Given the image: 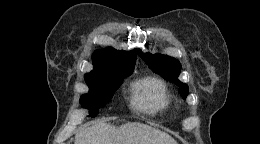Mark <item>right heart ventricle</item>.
<instances>
[{
	"instance_id": "obj_1",
	"label": "right heart ventricle",
	"mask_w": 260,
	"mask_h": 144,
	"mask_svg": "<svg viewBox=\"0 0 260 144\" xmlns=\"http://www.w3.org/2000/svg\"><path fill=\"white\" fill-rule=\"evenodd\" d=\"M132 104L137 110L154 115L165 112L171 100L161 80L147 77L133 84Z\"/></svg>"
}]
</instances>
